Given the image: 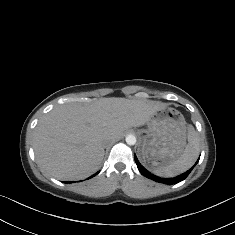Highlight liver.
<instances>
[{"label":"liver","mask_w":235,"mask_h":235,"mask_svg":"<svg viewBox=\"0 0 235 235\" xmlns=\"http://www.w3.org/2000/svg\"><path fill=\"white\" fill-rule=\"evenodd\" d=\"M165 107L147 99L125 98H103L90 106H58L34 129L36 161L42 172L56 179L86 178L102 163L106 140L145 125L154 112Z\"/></svg>","instance_id":"liver-1"}]
</instances>
